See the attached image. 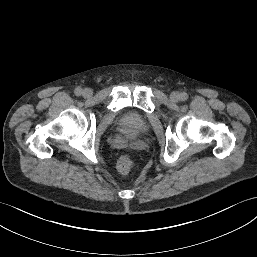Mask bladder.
Returning <instances> with one entry per match:
<instances>
[{"label":"bladder","instance_id":"1","mask_svg":"<svg viewBox=\"0 0 257 257\" xmlns=\"http://www.w3.org/2000/svg\"><path fill=\"white\" fill-rule=\"evenodd\" d=\"M119 127L122 132L131 138H137L146 133L149 124L148 120L140 115H125L120 123Z\"/></svg>","mask_w":257,"mask_h":257}]
</instances>
